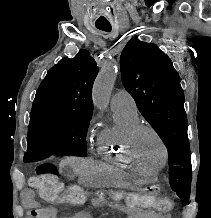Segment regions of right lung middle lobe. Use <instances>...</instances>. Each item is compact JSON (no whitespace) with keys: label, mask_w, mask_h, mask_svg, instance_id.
<instances>
[{"label":"right lung middle lobe","mask_w":211,"mask_h":218,"mask_svg":"<svg viewBox=\"0 0 211 218\" xmlns=\"http://www.w3.org/2000/svg\"><path fill=\"white\" fill-rule=\"evenodd\" d=\"M91 112L49 107H33L30 114L28 141L54 146L71 143L86 156V134Z\"/></svg>","instance_id":"dd1d6c3e"}]
</instances>
